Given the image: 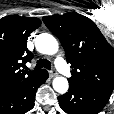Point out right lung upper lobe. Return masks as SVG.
<instances>
[{"label": "right lung upper lobe", "mask_w": 114, "mask_h": 114, "mask_svg": "<svg viewBox=\"0 0 114 114\" xmlns=\"http://www.w3.org/2000/svg\"><path fill=\"white\" fill-rule=\"evenodd\" d=\"M41 25L38 18L10 15L0 19V93L30 80L43 70H23L33 54L27 49L31 32Z\"/></svg>", "instance_id": "1"}]
</instances>
